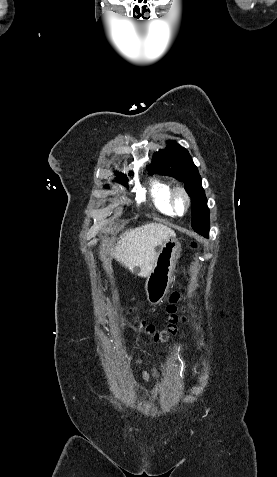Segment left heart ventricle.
I'll return each mask as SVG.
<instances>
[{
	"label": "left heart ventricle",
	"mask_w": 277,
	"mask_h": 477,
	"mask_svg": "<svg viewBox=\"0 0 277 477\" xmlns=\"http://www.w3.org/2000/svg\"><path fill=\"white\" fill-rule=\"evenodd\" d=\"M178 203H179V207H180V209H182V208H183V206H184V202H183V200H182L181 198H179V201H178Z\"/></svg>",
	"instance_id": "1"
}]
</instances>
